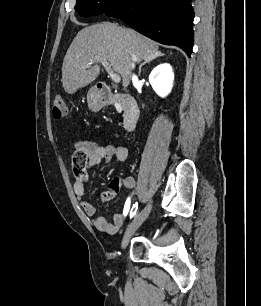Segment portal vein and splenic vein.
I'll list each match as a JSON object with an SVG mask.
<instances>
[{
    "label": "portal vein and splenic vein",
    "instance_id": "portal-vein-and-splenic-vein-1",
    "mask_svg": "<svg viewBox=\"0 0 261 306\" xmlns=\"http://www.w3.org/2000/svg\"><path fill=\"white\" fill-rule=\"evenodd\" d=\"M93 63H101L114 83H119L121 81L120 75L113 71L111 65L108 63L107 60L96 57L91 59L90 62L87 64V66L89 67Z\"/></svg>",
    "mask_w": 261,
    "mask_h": 306
}]
</instances>
